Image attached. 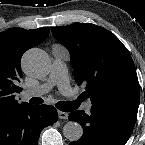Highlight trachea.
Here are the masks:
<instances>
[{"instance_id":"trachea-1","label":"trachea","mask_w":145,"mask_h":145,"mask_svg":"<svg viewBox=\"0 0 145 145\" xmlns=\"http://www.w3.org/2000/svg\"><path fill=\"white\" fill-rule=\"evenodd\" d=\"M29 102L31 104H42L43 103V99L42 98H38V97H33L29 100ZM79 103L78 101H59L55 104V106L63 111V112H70L75 110L78 107Z\"/></svg>"}]
</instances>
